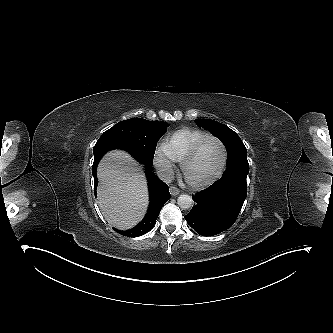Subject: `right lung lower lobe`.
<instances>
[{"instance_id":"1","label":"right lung lower lobe","mask_w":333,"mask_h":333,"mask_svg":"<svg viewBox=\"0 0 333 333\" xmlns=\"http://www.w3.org/2000/svg\"><path fill=\"white\" fill-rule=\"evenodd\" d=\"M123 149L130 153L138 162L144 163L147 167L146 175L148 179V186L150 192V205L145 215L144 219L134 228L127 231H120L115 229L121 235L127 237H138L149 232L155 225L156 219L163 205L170 199V193L168 185H166L162 180L157 178L153 172L149 169L152 167V162H149L145 157L138 152V150L124 137L104 132L102 136L97 141L93 148L94 162L92 167V174L94 177V190L96 196V186H97V175L96 169L97 165L102 158V156L109 150L112 149Z\"/></svg>"}]
</instances>
